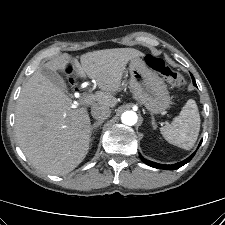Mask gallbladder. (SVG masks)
I'll return each instance as SVG.
<instances>
[{
	"instance_id": "bac80fb5",
	"label": "gallbladder",
	"mask_w": 225,
	"mask_h": 225,
	"mask_svg": "<svg viewBox=\"0 0 225 225\" xmlns=\"http://www.w3.org/2000/svg\"><path fill=\"white\" fill-rule=\"evenodd\" d=\"M42 74L49 79L53 84L57 85L58 87H62L64 84L63 78L55 71H52L48 68H42Z\"/></svg>"
}]
</instances>
